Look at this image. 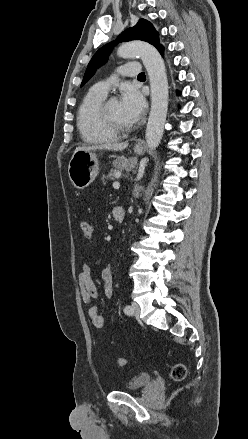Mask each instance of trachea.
Listing matches in <instances>:
<instances>
[{
	"mask_svg": "<svg viewBox=\"0 0 248 439\" xmlns=\"http://www.w3.org/2000/svg\"><path fill=\"white\" fill-rule=\"evenodd\" d=\"M138 77H145V73H144V72L140 73V74L138 75Z\"/></svg>",
	"mask_w": 248,
	"mask_h": 439,
	"instance_id": "obj_1",
	"label": "trachea"
}]
</instances>
